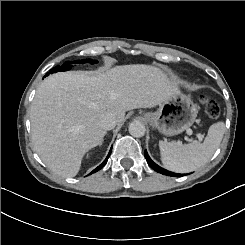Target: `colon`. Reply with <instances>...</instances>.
Returning <instances> with one entry per match:
<instances>
[{"label": "colon", "mask_w": 245, "mask_h": 245, "mask_svg": "<svg viewBox=\"0 0 245 245\" xmlns=\"http://www.w3.org/2000/svg\"><path fill=\"white\" fill-rule=\"evenodd\" d=\"M201 102L205 105V110L210 118H217L220 114L219 104L207 95L201 96Z\"/></svg>", "instance_id": "5ec220e1"}]
</instances>
